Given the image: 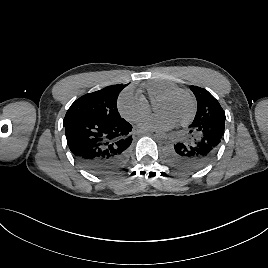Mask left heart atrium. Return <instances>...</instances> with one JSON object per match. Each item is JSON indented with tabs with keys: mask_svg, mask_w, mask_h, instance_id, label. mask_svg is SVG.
Instances as JSON below:
<instances>
[{
	"mask_svg": "<svg viewBox=\"0 0 268 268\" xmlns=\"http://www.w3.org/2000/svg\"><path fill=\"white\" fill-rule=\"evenodd\" d=\"M150 123L151 125L160 129H169L176 124V122H174L172 119L162 114L154 116Z\"/></svg>",
	"mask_w": 268,
	"mask_h": 268,
	"instance_id": "left-heart-atrium-1",
	"label": "left heart atrium"
}]
</instances>
